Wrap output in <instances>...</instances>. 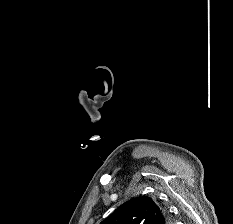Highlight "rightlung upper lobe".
Returning <instances> with one entry per match:
<instances>
[{
	"mask_svg": "<svg viewBox=\"0 0 233 224\" xmlns=\"http://www.w3.org/2000/svg\"><path fill=\"white\" fill-rule=\"evenodd\" d=\"M167 213L149 197L122 204L100 224H168Z\"/></svg>",
	"mask_w": 233,
	"mask_h": 224,
	"instance_id": "1",
	"label": "right lung upper lobe"
}]
</instances>
